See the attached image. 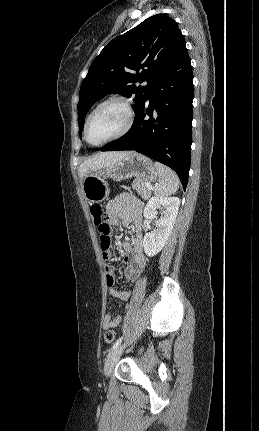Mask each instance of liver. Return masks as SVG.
<instances>
[{
    "label": "liver",
    "instance_id": "1",
    "mask_svg": "<svg viewBox=\"0 0 259 431\" xmlns=\"http://www.w3.org/2000/svg\"><path fill=\"white\" fill-rule=\"evenodd\" d=\"M131 153L130 151L101 152L86 159L78 168L81 181L90 172L115 164Z\"/></svg>",
    "mask_w": 259,
    "mask_h": 431
}]
</instances>
